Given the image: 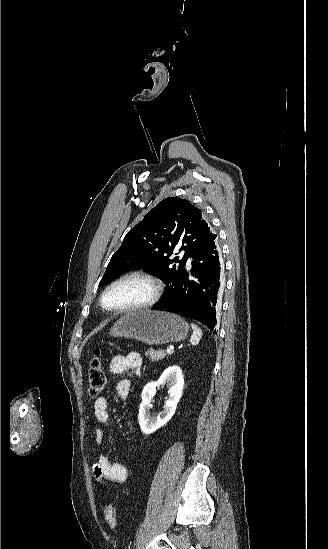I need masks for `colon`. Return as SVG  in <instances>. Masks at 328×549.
Wrapping results in <instances>:
<instances>
[{
  "instance_id": "obj_1",
  "label": "colon",
  "mask_w": 328,
  "mask_h": 549,
  "mask_svg": "<svg viewBox=\"0 0 328 549\" xmlns=\"http://www.w3.org/2000/svg\"><path fill=\"white\" fill-rule=\"evenodd\" d=\"M102 350L97 348L91 361L88 374V393L91 397H97L106 386V376L101 363ZM104 516L107 525L114 528L117 524V510L114 504L109 503L105 506Z\"/></svg>"
}]
</instances>
